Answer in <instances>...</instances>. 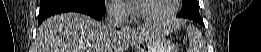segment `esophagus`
<instances>
[{
  "label": "esophagus",
  "instance_id": "34e87169",
  "mask_svg": "<svg viewBox=\"0 0 261 52\" xmlns=\"http://www.w3.org/2000/svg\"><path fill=\"white\" fill-rule=\"evenodd\" d=\"M122 33L126 36H130V35H132L133 32H132V29L130 27H124L122 29Z\"/></svg>",
  "mask_w": 261,
  "mask_h": 52
}]
</instances>
